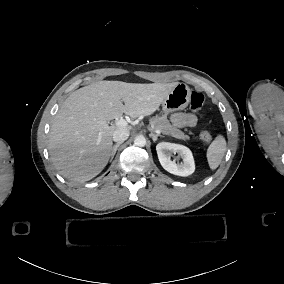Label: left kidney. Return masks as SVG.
<instances>
[{"label":"left kidney","mask_w":284,"mask_h":284,"mask_svg":"<svg viewBox=\"0 0 284 284\" xmlns=\"http://www.w3.org/2000/svg\"><path fill=\"white\" fill-rule=\"evenodd\" d=\"M159 161L162 167L175 175L188 176L194 172V161L191 151L182 145L161 142L156 146ZM173 153H178L182 159L180 164L170 160Z\"/></svg>","instance_id":"5707ae66"}]
</instances>
